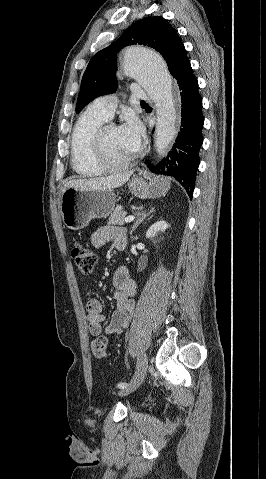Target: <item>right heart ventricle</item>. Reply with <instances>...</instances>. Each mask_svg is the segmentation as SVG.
I'll return each instance as SVG.
<instances>
[{"mask_svg": "<svg viewBox=\"0 0 266 479\" xmlns=\"http://www.w3.org/2000/svg\"><path fill=\"white\" fill-rule=\"evenodd\" d=\"M105 121V118L88 109L74 126L71 136V164L80 176L96 177L106 172L94 161L92 155L94 134Z\"/></svg>", "mask_w": 266, "mask_h": 479, "instance_id": "1", "label": "right heart ventricle"}]
</instances>
